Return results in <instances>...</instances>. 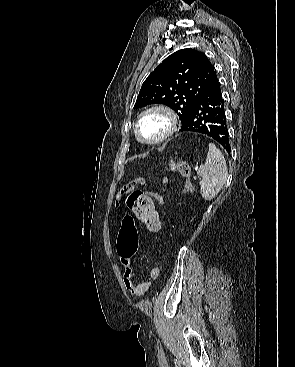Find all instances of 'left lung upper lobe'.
Here are the masks:
<instances>
[{
    "label": "left lung upper lobe",
    "instance_id": "left-lung-upper-lobe-1",
    "mask_svg": "<svg viewBox=\"0 0 295 367\" xmlns=\"http://www.w3.org/2000/svg\"><path fill=\"white\" fill-rule=\"evenodd\" d=\"M213 73V65L202 52L189 48L178 50L143 82L134 109L164 104L173 109L183 122Z\"/></svg>",
    "mask_w": 295,
    "mask_h": 367
}]
</instances>
